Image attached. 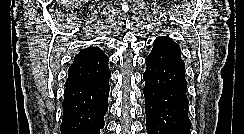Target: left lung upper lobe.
I'll return each instance as SVG.
<instances>
[{
    "instance_id": "1",
    "label": "left lung upper lobe",
    "mask_w": 244,
    "mask_h": 134,
    "mask_svg": "<svg viewBox=\"0 0 244 134\" xmlns=\"http://www.w3.org/2000/svg\"><path fill=\"white\" fill-rule=\"evenodd\" d=\"M146 71L161 86L186 88L185 64L181 59L180 46L169 37H158L151 53L145 58Z\"/></svg>"
}]
</instances>
